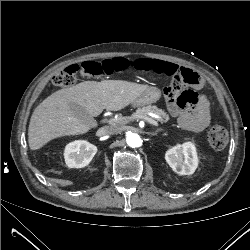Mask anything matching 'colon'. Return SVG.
<instances>
[{"mask_svg":"<svg viewBox=\"0 0 250 250\" xmlns=\"http://www.w3.org/2000/svg\"><path fill=\"white\" fill-rule=\"evenodd\" d=\"M132 66L133 61L123 57L87 61L81 66L73 64L58 71L53 76V83L59 87H68L75 83L80 70L88 76L96 77L126 71L132 68ZM184 84L199 86L201 78L197 72L184 68L172 76V89H179ZM179 99L182 104L195 107L200 101V96L195 90L187 89L181 93ZM207 138L213 149L222 150L228 143V132L224 127L214 125L208 130Z\"/></svg>","mask_w":250,"mask_h":250,"instance_id":"5ec220e1","label":"colon"}]
</instances>
